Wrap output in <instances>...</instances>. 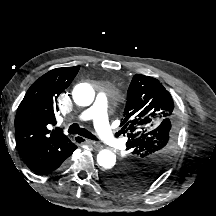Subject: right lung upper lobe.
<instances>
[{"instance_id": "obj_1", "label": "right lung upper lobe", "mask_w": 216, "mask_h": 216, "mask_svg": "<svg viewBox=\"0 0 216 216\" xmlns=\"http://www.w3.org/2000/svg\"><path fill=\"white\" fill-rule=\"evenodd\" d=\"M79 68L63 67L47 72L31 85L17 109L16 143L31 170L77 148L60 128H49L56 124L57 98L73 81Z\"/></svg>"}]
</instances>
